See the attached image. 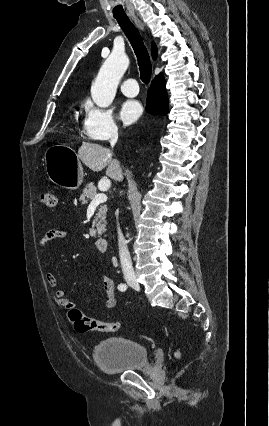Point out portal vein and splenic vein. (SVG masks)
I'll return each instance as SVG.
<instances>
[{"mask_svg": "<svg viewBox=\"0 0 269 426\" xmlns=\"http://www.w3.org/2000/svg\"><path fill=\"white\" fill-rule=\"evenodd\" d=\"M109 187V186H107ZM107 201V196L104 193L97 194L94 199L91 201L90 205H98Z\"/></svg>", "mask_w": 269, "mask_h": 426, "instance_id": "portal-vein-and-splenic-vein-1", "label": "portal vein and splenic vein"}]
</instances>
